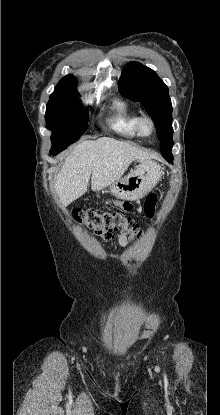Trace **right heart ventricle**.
<instances>
[{
    "mask_svg": "<svg viewBox=\"0 0 220 415\" xmlns=\"http://www.w3.org/2000/svg\"><path fill=\"white\" fill-rule=\"evenodd\" d=\"M138 115L124 101H115L113 113L109 117L108 126L117 134L126 138L137 137L135 125Z\"/></svg>",
    "mask_w": 220,
    "mask_h": 415,
    "instance_id": "right-heart-ventricle-1",
    "label": "right heart ventricle"
}]
</instances>
